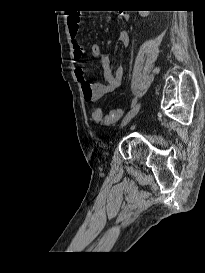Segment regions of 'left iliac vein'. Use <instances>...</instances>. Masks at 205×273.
Returning a JSON list of instances; mask_svg holds the SVG:
<instances>
[{
    "label": "left iliac vein",
    "instance_id": "left-iliac-vein-1",
    "mask_svg": "<svg viewBox=\"0 0 205 273\" xmlns=\"http://www.w3.org/2000/svg\"><path fill=\"white\" fill-rule=\"evenodd\" d=\"M142 106V103H137L124 117L122 123H121V127H123L124 125H126L140 110Z\"/></svg>",
    "mask_w": 205,
    "mask_h": 273
}]
</instances>
